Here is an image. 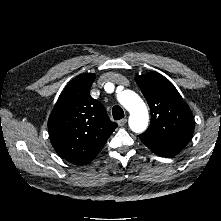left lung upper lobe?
<instances>
[{"mask_svg":"<svg viewBox=\"0 0 221 221\" xmlns=\"http://www.w3.org/2000/svg\"><path fill=\"white\" fill-rule=\"evenodd\" d=\"M135 81L150 107L151 123L146 132L190 139L194 131L193 115L175 86L156 72L136 76Z\"/></svg>","mask_w":221,"mask_h":221,"instance_id":"1","label":"left lung upper lobe"}]
</instances>
